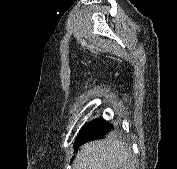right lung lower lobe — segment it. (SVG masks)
Listing matches in <instances>:
<instances>
[{"label":"right lung lower lobe","mask_w":177,"mask_h":169,"mask_svg":"<svg viewBox=\"0 0 177 169\" xmlns=\"http://www.w3.org/2000/svg\"><path fill=\"white\" fill-rule=\"evenodd\" d=\"M113 128L111 124L105 120L96 119L84 127L82 132L77 136L74 146L78 148L80 145L91 141L103 138L105 133L110 131Z\"/></svg>","instance_id":"right-lung-lower-lobe-1"}]
</instances>
